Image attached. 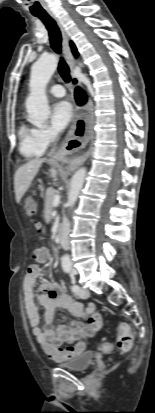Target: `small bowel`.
Wrapping results in <instances>:
<instances>
[{
    "mask_svg": "<svg viewBox=\"0 0 155 413\" xmlns=\"http://www.w3.org/2000/svg\"><path fill=\"white\" fill-rule=\"evenodd\" d=\"M42 274L40 265H30L24 277L25 313L32 328L36 341L57 362H63L85 351L83 341L76 342L79 336L91 337L102 326V318L94 312H85L83 304L65 294L62 288L53 283L46 282L40 285V293L34 295L33 289L38 284ZM39 307L44 309V327H40L41 316ZM65 309L74 317L84 321L60 324L53 328L55 312ZM67 345L66 348H61ZM60 351V350H67Z\"/></svg>",
    "mask_w": 155,
    "mask_h": 413,
    "instance_id": "small-bowel-1",
    "label": "small bowel"
}]
</instances>
